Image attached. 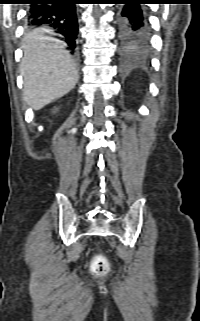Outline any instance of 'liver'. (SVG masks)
I'll return each instance as SVG.
<instances>
[{
    "instance_id": "1",
    "label": "liver",
    "mask_w": 200,
    "mask_h": 321,
    "mask_svg": "<svg viewBox=\"0 0 200 321\" xmlns=\"http://www.w3.org/2000/svg\"><path fill=\"white\" fill-rule=\"evenodd\" d=\"M45 29L27 34L22 45L20 72L24 79L23 98L39 110L71 91L79 78L64 43L46 36Z\"/></svg>"
}]
</instances>
